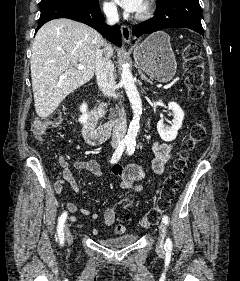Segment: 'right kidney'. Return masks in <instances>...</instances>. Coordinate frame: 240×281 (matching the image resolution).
Wrapping results in <instances>:
<instances>
[{"label":"right kidney","instance_id":"1","mask_svg":"<svg viewBox=\"0 0 240 281\" xmlns=\"http://www.w3.org/2000/svg\"><path fill=\"white\" fill-rule=\"evenodd\" d=\"M80 111L82 112V115L79 117V122L80 123H85L87 119L89 118V115L87 114V104L83 103L80 106Z\"/></svg>","mask_w":240,"mask_h":281}]
</instances>
